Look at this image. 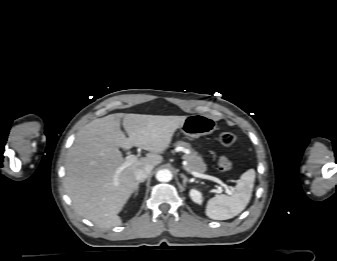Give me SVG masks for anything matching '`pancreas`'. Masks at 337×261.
Wrapping results in <instances>:
<instances>
[{
	"mask_svg": "<svg viewBox=\"0 0 337 261\" xmlns=\"http://www.w3.org/2000/svg\"><path fill=\"white\" fill-rule=\"evenodd\" d=\"M176 146H182L185 149H188V153L183 156V159L186 161L184 169L191 173L192 171L204 173L207 170V165L204 163L203 159L195 152L191 150L190 145L186 142H177Z\"/></svg>",
	"mask_w": 337,
	"mask_h": 261,
	"instance_id": "pancreas-1",
	"label": "pancreas"
}]
</instances>
